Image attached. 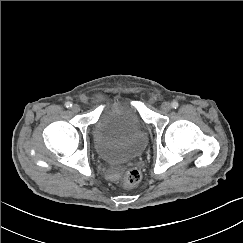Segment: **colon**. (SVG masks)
Wrapping results in <instances>:
<instances>
[{"label":"colon","mask_w":243,"mask_h":243,"mask_svg":"<svg viewBox=\"0 0 243 243\" xmlns=\"http://www.w3.org/2000/svg\"><path fill=\"white\" fill-rule=\"evenodd\" d=\"M141 180V173L135 168H131L125 171L122 184L124 188L130 189L139 184Z\"/></svg>","instance_id":"obj_1"}]
</instances>
